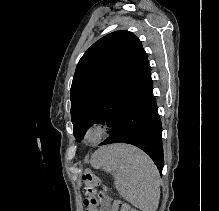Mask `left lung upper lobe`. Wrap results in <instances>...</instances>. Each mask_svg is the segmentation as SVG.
Here are the masks:
<instances>
[{"mask_svg": "<svg viewBox=\"0 0 219 211\" xmlns=\"http://www.w3.org/2000/svg\"><path fill=\"white\" fill-rule=\"evenodd\" d=\"M151 67L141 41L125 30L95 42L81 57L71 86V118L80 141L94 123H107L109 134L122 114L151 82Z\"/></svg>", "mask_w": 219, "mask_h": 211, "instance_id": "1", "label": "left lung upper lobe"}]
</instances>
